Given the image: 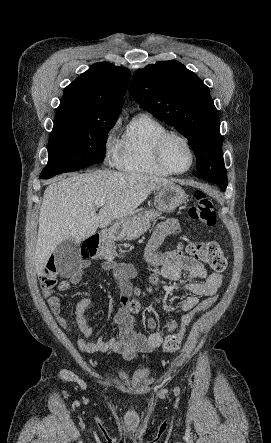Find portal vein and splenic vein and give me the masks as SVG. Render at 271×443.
<instances>
[{"mask_svg": "<svg viewBox=\"0 0 271 443\" xmlns=\"http://www.w3.org/2000/svg\"><path fill=\"white\" fill-rule=\"evenodd\" d=\"M106 200H100V202H95L94 208H102L104 206Z\"/></svg>", "mask_w": 271, "mask_h": 443, "instance_id": "1", "label": "portal vein and splenic vein"}]
</instances>
